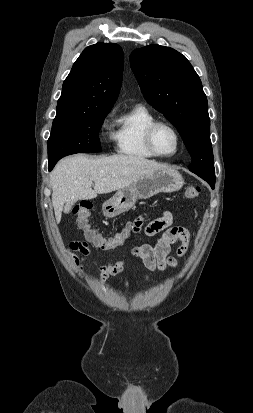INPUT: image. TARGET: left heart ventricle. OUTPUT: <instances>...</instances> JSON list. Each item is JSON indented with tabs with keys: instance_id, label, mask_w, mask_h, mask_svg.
<instances>
[{
	"instance_id": "obj_1",
	"label": "left heart ventricle",
	"mask_w": 253,
	"mask_h": 413,
	"mask_svg": "<svg viewBox=\"0 0 253 413\" xmlns=\"http://www.w3.org/2000/svg\"><path fill=\"white\" fill-rule=\"evenodd\" d=\"M156 149L162 154H172L176 149V138L174 133L166 126H160L154 134Z\"/></svg>"
}]
</instances>
